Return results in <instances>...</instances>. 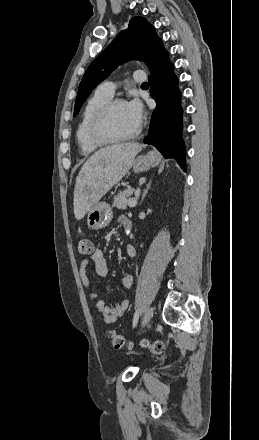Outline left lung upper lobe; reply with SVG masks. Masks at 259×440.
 Returning a JSON list of instances; mask_svg holds the SVG:
<instances>
[{
  "label": "left lung upper lobe",
  "mask_w": 259,
  "mask_h": 440,
  "mask_svg": "<svg viewBox=\"0 0 259 440\" xmlns=\"http://www.w3.org/2000/svg\"><path fill=\"white\" fill-rule=\"evenodd\" d=\"M162 44L154 27L143 17H134L129 27L121 31L109 46L90 64L86 70L78 90L74 116L90 95L92 90L118 65L137 59L148 64L156 49Z\"/></svg>",
  "instance_id": "obj_1"
}]
</instances>
